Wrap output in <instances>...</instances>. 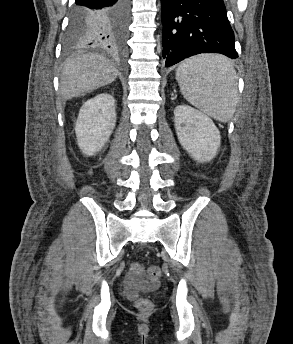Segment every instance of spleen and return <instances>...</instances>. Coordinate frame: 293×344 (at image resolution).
Returning <instances> with one entry per match:
<instances>
[{
    "label": "spleen",
    "instance_id": "spleen-1",
    "mask_svg": "<svg viewBox=\"0 0 293 344\" xmlns=\"http://www.w3.org/2000/svg\"><path fill=\"white\" fill-rule=\"evenodd\" d=\"M176 80L187 101L214 119L227 122L235 112L236 71L222 55L201 54L184 60Z\"/></svg>",
    "mask_w": 293,
    "mask_h": 344
}]
</instances>
